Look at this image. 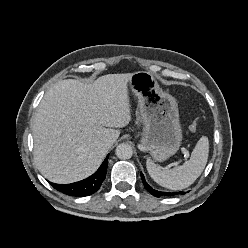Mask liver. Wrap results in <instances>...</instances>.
<instances>
[{"mask_svg": "<svg viewBox=\"0 0 248 248\" xmlns=\"http://www.w3.org/2000/svg\"><path fill=\"white\" fill-rule=\"evenodd\" d=\"M131 73L108 74L93 83L58 81L43 96L33 119L34 159L51 182L67 184L93 174L131 121Z\"/></svg>", "mask_w": 248, "mask_h": 248, "instance_id": "liver-1", "label": "liver"}]
</instances>
